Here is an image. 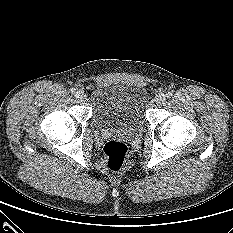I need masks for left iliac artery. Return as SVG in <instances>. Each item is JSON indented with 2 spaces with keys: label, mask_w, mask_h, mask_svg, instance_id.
I'll list each match as a JSON object with an SVG mask.
<instances>
[{
  "label": "left iliac artery",
  "mask_w": 233,
  "mask_h": 233,
  "mask_svg": "<svg viewBox=\"0 0 233 233\" xmlns=\"http://www.w3.org/2000/svg\"><path fill=\"white\" fill-rule=\"evenodd\" d=\"M172 95H173V92H172V91H168V92L166 93V97H167V98H171Z\"/></svg>",
  "instance_id": "left-iliac-artery-1"
}]
</instances>
